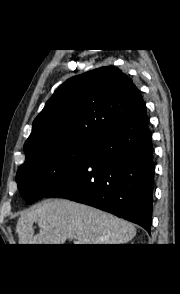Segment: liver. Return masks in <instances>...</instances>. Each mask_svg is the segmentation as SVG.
Returning <instances> with one entry per match:
<instances>
[{
    "instance_id": "1",
    "label": "liver",
    "mask_w": 180,
    "mask_h": 294,
    "mask_svg": "<svg viewBox=\"0 0 180 294\" xmlns=\"http://www.w3.org/2000/svg\"><path fill=\"white\" fill-rule=\"evenodd\" d=\"M40 231L34 233L33 224ZM19 244H125L136 236L133 224L96 208L66 199L43 202L23 212L16 225Z\"/></svg>"
}]
</instances>
